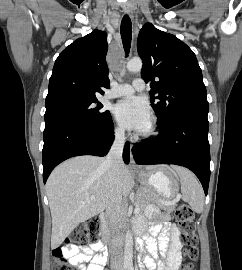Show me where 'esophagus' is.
Wrapping results in <instances>:
<instances>
[{
	"label": "esophagus",
	"mask_w": 242,
	"mask_h": 270,
	"mask_svg": "<svg viewBox=\"0 0 242 270\" xmlns=\"http://www.w3.org/2000/svg\"><path fill=\"white\" fill-rule=\"evenodd\" d=\"M123 11H124L125 14L129 15L131 18L133 17L132 16V10H131V8L129 6L124 5L123 6ZM130 163H131L132 168H134V169L137 168V165H136L132 155L130 156Z\"/></svg>",
	"instance_id": "obj_1"
}]
</instances>
